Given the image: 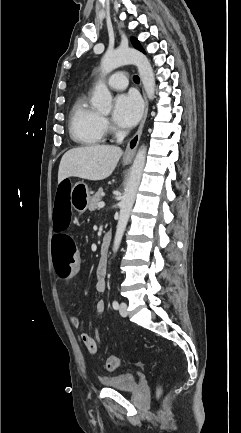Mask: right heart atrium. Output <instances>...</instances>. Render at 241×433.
Returning a JSON list of instances; mask_svg holds the SVG:
<instances>
[{
    "mask_svg": "<svg viewBox=\"0 0 241 433\" xmlns=\"http://www.w3.org/2000/svg\"><path fill=\"white\" fill-rule=\"evenodd\" d=\"M104 125L105 126H109L108 122L106 120H104Z\"/></svg>",
    "mask_w": 241,
    "mask_h": 433,
    "instance_id": "right-heart-atrium-1",
    "label": "right heart atrium"
}]
</instances>
